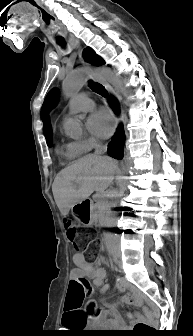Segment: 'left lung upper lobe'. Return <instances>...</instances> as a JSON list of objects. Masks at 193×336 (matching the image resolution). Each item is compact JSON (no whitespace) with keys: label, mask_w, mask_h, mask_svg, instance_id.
Listing matches in <instances>:
<instances>
[{"label":"left lung upper lobe","mask_w":193,"mask_h":336,"mask_svg":"<svg viewBox=\"0 0 193 336\" xmlns=\"http://www.w3.org/2000/svg\"><path fill=\"white\" fill-rule=\"evenodd\" d=\"M84 58L94 64V65H97V66H100L102 64H104V61L102 58H100L98 55H96L94 53V51L90 48H86L84 50ZM57 96H58V93L56 90H52L51 92H49V94L47 95L44 103H43V106H42V115L45 113V112H48L51 108L54 107L56 101H57Z\"/></svg>","instance_id":"5c2ea615"}]
</instances>
